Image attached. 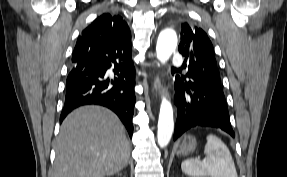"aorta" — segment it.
Segmentation results:
<instances>
[{"mask_svg":"<svg viewBox=\"0 0 287 177\" xmlns=\"http://www.w3.org/2000/svg\"><path fill=\"white\" fill-rule=\"evenodd\" d=\"M177 46V35L172 29H165L159 34L156 54L161 63H166ZM174 130L173 108L171 102L162 99L158 119L157 142L161 148L168 145Z\"/></svg>","mask_w":287,"mask_h":177,"instance_id":"obj_1","label":"aorta"}]
</instances>
